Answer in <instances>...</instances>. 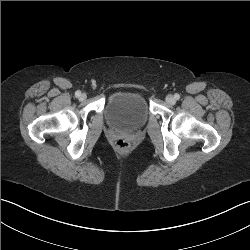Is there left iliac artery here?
Wrapping results in <instances>:
<instances>
[{
	"instance_id": "44dca946",
	"label": "left iliac artery",
	"mask_w": 250,
	"mask_h": 250,
	"mask_svg": "<svg viewBox=\"0 0 250 250\" xmlns=\"http://www.w3.org/2000/svg\"><path fill=\"white\" fill-rule=\"evenodd\" d=\"M174 98H175L176 100H179L180 95L176 93V94L174 95Z\"/></svg>"
}]
</instances>
